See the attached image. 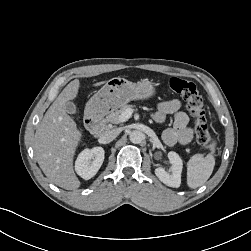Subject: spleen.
Returning <instances> with one entry per match:
<instances>
[{"mask_svg": "<svg viewBox=\"0 0 251 251\" xmlns=\"http://www.w3.org/2000/svg\"><path fill=\"white\" fill-rule=\"evenodd\" d=\"M212 152L204 157L203 154L193 155L187 166V185L195 189L202 186L211 176L214 166L215 143L211 146Z\"/></svg>", "mask_w": 251, "mask_h": 251, "instance_id": "spleen-1", "label": "spleen"}]
</instances>
